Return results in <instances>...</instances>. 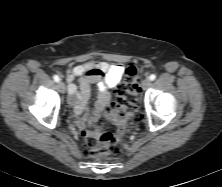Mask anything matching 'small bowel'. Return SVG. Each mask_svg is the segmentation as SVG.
Segmentation results:
<instances>
[{"label":"small bowel","mask_w":222,"mask_h":187,"mask_svg":"<svg viewBox=\"0 0 222 187\" xmlns=\"http://www.w3.org/2000/svg\"><path fill=\"white\" fill-rule=\"evenodd\" d=\"M123 73L124 67L121 64L104 61H93L69 68L66 79L75 115L81 116L84 112L93 84L98 91L95 109L98 113L102 112L110 100L111 90L120 83ZM76 78H79L78 86L74 84ZM84 122L85 118L80 117L79 123L82 125Z\"/></svg>","instance_id":"obj_1"}]
</instances>
